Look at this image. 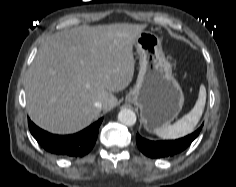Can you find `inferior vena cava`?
<instances>
[{
    "label": "inferior vena cava",
    "instance_id": "inferior-vena-cava-1",
    "mask_svg": "<svg viewBox=\"0 0 236 187\" xmlns=\"http://www.w3.org/2000/svg\"><path fill=\"white\" fill-rule=\"evenodd\" d=\"M94 105H95V107H96V108H98V109H101V108H102V106H103V105H102V103H101V102H99V101L95 102V104H94Z\"/></svg>",
    "mask_w": 236,
    "mask_h": 187
}]
</instances>
